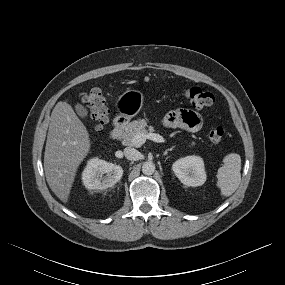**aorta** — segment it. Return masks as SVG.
<instances>
[{"instance_id": "aorta-1", "label": "aorta", "mask_w": 285, "mask_h": 285, "mask_svg": "<svg viewBox=\"0 0 285 285\" xmlns=\"http://www.w3.org/2000/svg\"><path fill=\"white\" fill-rule=\"evenodd\" d=\"M142 172L145 175H152L155 172V164L151 161H146L142 165Z\"/></svg>"}]
</instances>
